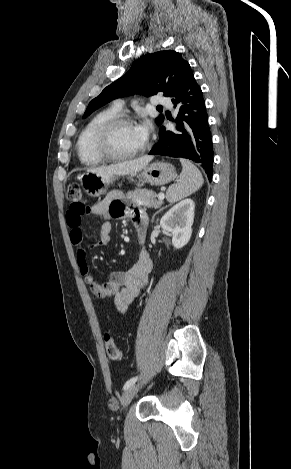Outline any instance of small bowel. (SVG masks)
Here are the masks:
<instances>
[{"mask_svg": "<svg viewBox=\"0 0 291 469\" xmlns=\"http://www.w3.org/2000/svg\"><path fill=\"white\" fill-rule=\"evenodd\" d=\"M92 214L103 222L100 227L97 241L88 244L89 248L108 245L111 242V218H129L135 228L145 234L148 224L147 215L137 208L128 206L122 193L110 192L102 201L96 203L90 210ZM84 214L78 213L73 207L66 215L67 225L70 229V240L78 249V265L91 293L98 299H113L116 310L124 313L133 300L149 283V274L152 270V260L146 249L141 250L137 261L125 271H114L105 283L97 282L92 276L85 258V250L81 248L83 242L82 218Z\"/></svg>", "mask_w": 291, "mask_h": 469, "instance_id": "obj_1", "label": "small bowel"}]
</instances>
